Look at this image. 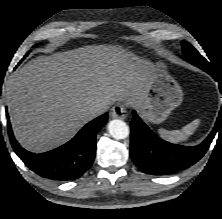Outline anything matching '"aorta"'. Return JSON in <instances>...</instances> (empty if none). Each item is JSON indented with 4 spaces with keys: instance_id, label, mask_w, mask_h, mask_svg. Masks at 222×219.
<instances>
[{
    "instance_id": "762f6f07",
    "label": "aorta",
    "mask_w": 222,
    "mask_h": 219,
    "mask_svg": "<svg viewBox=\"0 0 222 219\" xmlns=\"http://www.w3.org/2000/svg\"><path fill=\"white\" fill-rule=\"evenodd\" d=\"M108 132L114 139H125L129 135V127L119 119H114L108 124Z\"/></svg>"
}]
</instances>
